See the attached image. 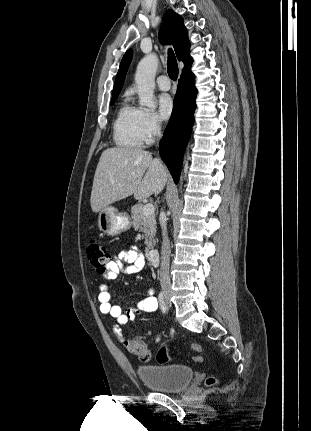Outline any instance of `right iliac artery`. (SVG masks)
<instances>
[{"mask_svg": "<svg viewBox=\"0 0 311 431\" xmlns=\"http://www.w3.org/2000/svg\"><path fill=\"white\" fill-rule=\"evenodd\" d=\"M158 299H159V304H160L161 311L163 313H167L168 312V308H167V305H166V301L164 299V293L163 292L159 293Z\"/></svg>", "mask_w": 311, "mask_h": 431, "instance_id": "1", "label": "right iliac artery"}]
</instances>
